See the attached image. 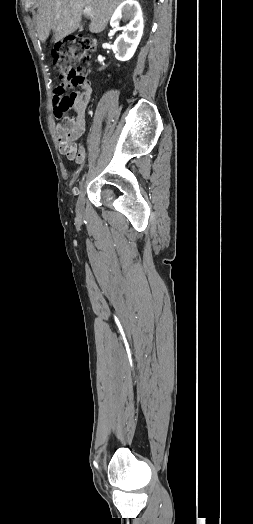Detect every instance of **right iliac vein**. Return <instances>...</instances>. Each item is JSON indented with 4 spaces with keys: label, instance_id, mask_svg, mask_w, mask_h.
I'll return each mask as SVG.
<instances>
[{
    "label": "right iliac vein",
    "instance_id": "obj_1",
    "mask_svg": "<svg viewBox=\"0 0 253 524\" xmlns=\"http://www.w3.org/2000/svg\"><path fill=\"white\" fill-rule=\"evenodd\" d=\"M84 204H85L84 187H82L81 191L79 193L77 202H76V213H77L78 216H82L83 215Z\"/></svg>",
    "mask_w": 253,
    "mask_h": 524
}]
</instances>
